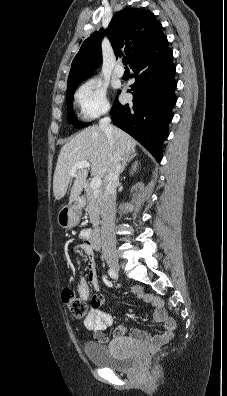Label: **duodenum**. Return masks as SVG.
<instances>
[{
  "label": "duodenum",
  "instance_id": "1",
  "mask_svg": "<svg viewBox=\"0 0 227 396\" xmlns=\"http://www.w3.org/2000/svg\"><path fill=\"white\" fill-rule=\"evenodd\" d=\"M85 203V198L83 196H79L75 201V207L81 208ZM92 240L94 244L100 248L102 246V231L99 227H96L92 231Z\"/></svg>",
  "mask_w": 227,
  "mask_h": 396
}]
</instances>
